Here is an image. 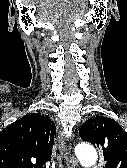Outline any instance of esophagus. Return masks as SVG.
Masks as SVG:
<instances>
[{"label":"esophagus","mask_w":127,"mask_h":168,"mask_svg":"<svg viewBox=\"0 0 127 168\" xmlns=\"http://www.w3.org/2000/svg\"><path fill=\"white\" fill-rule=\"evenodd\" d=\"M58 143H59L60 152L62 156L64 157V159L66 160L67 167L68 168H79V165L76 159L70 154V152L66 148L65 139L61 133H59L58 135Z\"/></svg>","instance_id":"34e87169"}]
</instances>
